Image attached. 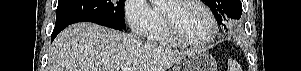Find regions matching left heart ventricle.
Returning a JSON list of instances; mask_svg holds the SVG:
<instances>
[{
  "mask_svg": "<svg viewBox=\"0 0 301 71\" xmlns=\"http://www.w3.org/2000/svg\"><path fill=\"white\" fill-rule=\"evenodd\" d=\"M162 9L173 19L187 39L201 41L210 34V20L201 7L191 3L178 4L166 1Z\"/></svg>",
  "mask_w": 301,
  "mask_h": 71,
  "instance_id": "left-heart-ventricle-1",
  "label": "left heart ventricle"
}]
</instances>
